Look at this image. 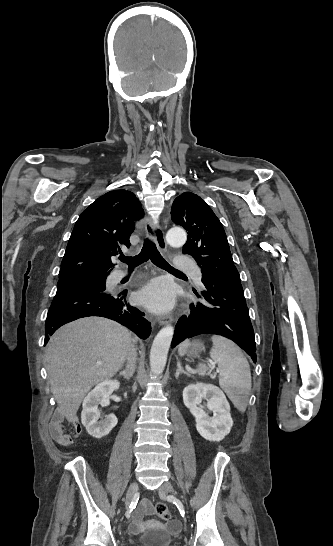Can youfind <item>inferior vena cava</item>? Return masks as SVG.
<instances>
[{"label": "inferior vena cava", "instance_id": "obj_1", "mask_svg": "<svg viewBox=\"0 0 333 546\" xmlns=\"http://www.w3.org/2000/svg\"><path fill=\"white\" fill-rule=\"evenodd\" d=\"M135 363H136V350L133 346H131L127 354V370H134Z\"/></svg>", "mask_w": 333, "mask_h": 546}]
</instances>
